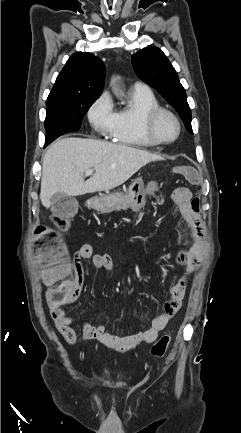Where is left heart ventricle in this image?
Wrapping results in <instances>:
<instances>
[{
  "label": "left heart ventricle",
  "mask_w": 241,
  "mask_h": 433,
  "mask_svg": "<svg viewBox=\"0 0 241 433\" xmlns=\"http://www.w3.org/2000/svg\"><path fill=\"white\" fill-rule=\"evenodd\" d=\"M156 132L161 139L170 140L176 135V124L169 116L163 115L156 124Z\"/></svg>",
  "instance_id": "left-heart-ventricle-1"
}]
</instances>
